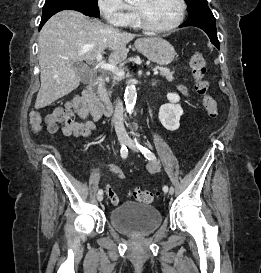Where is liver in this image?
<instances>
[{
  "instance_id": "1",
  "label": "liver",
  "mask_w": 261,
  "mask_h": 273,
  "mask_svg": "<svg viewBox=\"0 0 261 273\" xmlns=\"http://www.w3.org/2000/svg\"><path fill=\"white\" fill-rule=\"evenodd\" d=\"M135 36L77 11L64 10L53 15L38 39L41 87L35 108H44L79 87L81 79L75 64L93 61L105 49L111 51L109 63L123 62L127 58L126 45Z\"/></svg>"
}]
</instances>
